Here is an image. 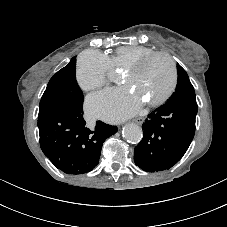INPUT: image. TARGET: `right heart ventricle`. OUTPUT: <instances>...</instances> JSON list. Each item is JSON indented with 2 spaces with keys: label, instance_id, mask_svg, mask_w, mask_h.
I'll list each match as a JSON object with an SVG mask.
<instances>
[{
  "label": "right heart ventricle",
  "instance_id": "e07e8e85",
  "mask_svg": "<svg viewBox=\"0 0 227 227\" xmlns=\"http://www.w3.org/2000/svg\"><path fill=\"white\" fill-rule=\"evenodd\" d=\"M154 52L156 51L153 48L145 46H121L116 48L108 58L113 69L125 71L142 57Z\"/></svg>",
  "mask_w": 227,
  "mask_h": 227
}]
</instances>
